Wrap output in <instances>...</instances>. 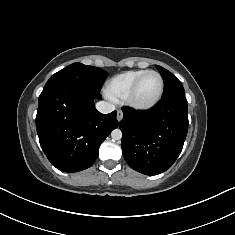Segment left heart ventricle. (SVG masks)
Returning <instances> with one entry per match:
<instances>
[{
  "instance_id": "left-heart-ventricle-1",
  "label": "left heart ventricle",
  "mask_w": 235,
  "mask_h": 235,
  "mask_svg": "<svg viewBox=\"0 0 235 235\" xmlns=\"http://www.w3.org/2000/svg\"><path fill=\"white\" fill-rule=\"evenodd\" d=\"M160 89V81L157 75L147 74L140 82L134 95L137 103H148L156 98Z\"/></svg>"
}]
</instances>
